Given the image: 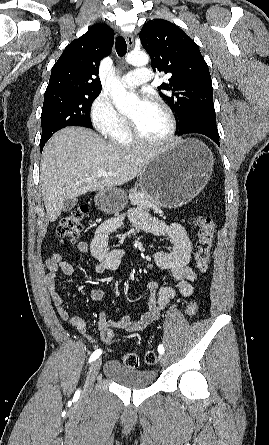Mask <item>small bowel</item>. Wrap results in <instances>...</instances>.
Wrapping results in <instances>:
<instances>
[{
    "label": "small bowel",
    "mask_w": 269,
    "mask_h": 445,
    "mask_svg": "<svg viewBox=\"0 0 269 445\" xmlns=\"http://www.w3.org/2000/svg\"><path fill=\"white\" fill-rule=\"evenodd\" d=\"M128 217L143 232L170 238L173 249L171 251L156 252L153 260L157 267L168 271L177 281V289L170 286L159 287L156 282H148L146 285V289L149 292L148 308L136 320H132L127 316L109 319L106 312H101L98 318V326L101 330L103 341L105 334L112 332L114 329H121L127 332H137L146 329L158 319L160 313L175 298L177 292L186 298L193 294V282L197 277L195 271L189 265L191 242L185 228L181 224L176 222L167 224L140 209L130 211ZM119 222V220L103 222L95 230L90 245L84 241H79L76 245L78 252L82 254L90 252L96 259L95 271L98 274L106 271L115 272L120 268L124 251L122 249H108L109 236L117 228ZM65 258L66 253L58 250L46 261L48 273L45 277V283L61 319L92 342L94 339L87 331L86 321L80 316L70 313L69 305L64 301L56 287L55 279L58 271H61L66 276H70L73 273L71 264ZM104 298V290L93 289L89 293V299L93 302H100Z\"/></svg>",
    "instance_id": "small-bowel-1"
}]
</instances>
